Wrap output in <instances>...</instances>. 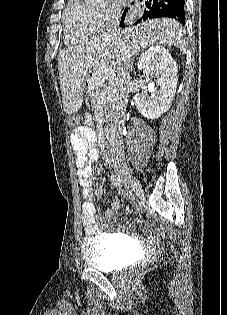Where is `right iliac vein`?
<instances>
[{
	"instance_id": "right-iliac-vein-1",
	"label": "right iliac vein",
	"mask_w": 227,
	"mask_h": 315,
	"mask_svg": "<svg viewBox=\"0 0 227 315\" xmlns=\"http://www.w3.org/2000/svg\"><path fill=\"white\" fill-rule=\"evenodd\" d=\"M117 174L125 185H128L137 195H142L141 185L127 170L120 169Z\"/></svg>"
}]
</instances>
